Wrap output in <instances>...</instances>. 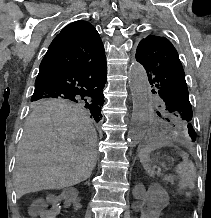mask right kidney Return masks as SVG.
<instances>
[{
  "instance_id": "right-kidney-1",
  "label": "right kidney",
  "mask_w": 211,
  "mask_h": 218,
  "mask_svg": "<svg viewBox=\"0 0 211 218\" xmlns=\"http://www.w3.org/2000/svg\"><path fill=\"white\" fill-rule=\"evenodd\" d=\"M78 196V190L76 188H67L62 193H53V197H47V202H50V216L51 218H64L67 214V209H63L65 202H74Z\"/></svg>"
}]
</instances>
